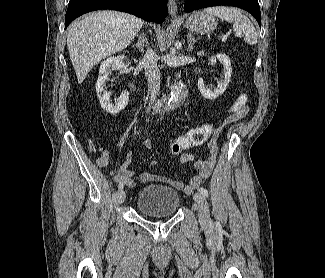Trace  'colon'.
I'll return each mask as SVG.
<instances>
[{
  "label": "colon",
  "instance_id": "1",
  "mask_svg": "<svg viewBox=\"0 0 325 278\" xmlns=\"http://www.w3.org/2000/svg\"><path fill=\"white\" fill-rule=\"evenodd\" d=\"M245 108V100L240 99L236 106V110H243ZM216 127V123L214 122H207L200 126H197L193 128L192 133L189 136H178L176 137L171 146H170V152L172 155H178L182 151H185L187 149H190L192 147L199 146L203 143H205L208 138L212 135L214 132V129Z\"/></svg>",
  "mask_w": 325,
  "mask_h": 278
}]
</instances>
